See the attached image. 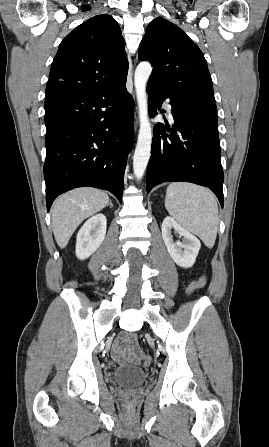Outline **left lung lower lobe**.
I'll return each mask as SVG.
<instances>
[{
    "label": "left lung lower lobe",
    "mask_w": 269,
    "mask_h": 447,
    "mask_svg": "<svg viewBox=\"0 0 269 447\" xmlns=\"http://www.w3.org/2000/svg\"><path fill=\"white\" fill-rule=\"evenodd\" d=\"M150 116L157 115L165 98L161 90L147 86ZM173 129L158 123L147 168V192L163 182L184 181L210 188L223 207L224 174L216 121L196 118L170 98ZM170 131V135L165 134Z\"/></svg>",
    "instance_id": "obj_1"
}]
</instances>
